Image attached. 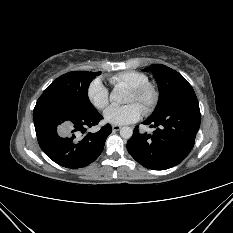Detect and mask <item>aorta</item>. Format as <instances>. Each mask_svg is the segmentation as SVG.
Wrapping results in <instances>:
<instances>
[{
	"instance_id": "obj_1",
	"label": "aorta",
	"mask_w": 233,
	"mask_h": 233,
	"mask_svg": "<svg viewBox=\"0 0 233 233\" xmlns=\"http://www.w3.org/2000/svg\"><path fill=\"white\" fill-rule=\"evenodd\" d=\"M126 96V91L121 85H116L110 94V99L116 102H124ZM120 135L124 139H129L133 135V130L131 127L124 126L120 129Z\"/></svg>"
}]
</instances>
